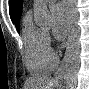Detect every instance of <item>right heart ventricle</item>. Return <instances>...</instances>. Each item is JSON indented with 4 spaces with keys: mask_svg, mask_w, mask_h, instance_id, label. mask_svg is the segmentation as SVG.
Wrapping results in <instances>:
<instances>
[{
    "mask_svg": "<svg viewBox=\"0 0 89 89\" xmlns=\"http://www.w3.org/2000/svg\"><path fill=\"white\" fill-rule=\"evenodd\" d=\"M24 62L34 75L51 73L56 66V57L45 45V33L36 27L31 13L23 19Z\"/></svg>",
    "mask_w": 89,
    "mask_h": 89,
    "instance_id": "right-heart-ventricle-1",
    "label": "right heart ventricle"
}]
</instances>
